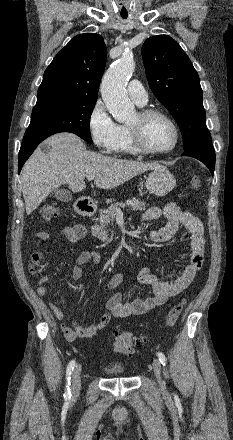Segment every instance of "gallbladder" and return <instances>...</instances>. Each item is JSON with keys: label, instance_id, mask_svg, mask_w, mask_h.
<instances>
[{"label": "gallbladder", "instance_id": "obj_1", "mask_svg": "<svg viewBox=\"0 0 233 440\" xmlns=\"http://www.w3.org/2000/svg\"><path fill=\"white\" fill-rule=\"evenodd\" d=\"M53 196L62 202H69L72 199V195L65 189H56L53 191Z\"/></svg>", "mask_w": 233, "mask_h": 440}]
</instances>
